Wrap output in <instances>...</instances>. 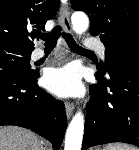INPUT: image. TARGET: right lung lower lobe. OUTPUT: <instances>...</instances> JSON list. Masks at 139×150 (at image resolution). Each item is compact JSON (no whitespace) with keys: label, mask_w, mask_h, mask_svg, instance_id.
<instances>
[{"label":"right lung lower lobe","mask_w":139,"mask_h":150,"mask_svg":"<svg viewBox=\"0 0 139 150\" xmlns=\"http://www.w3.org/2000/svg\"><path fill=\"white\" fill-rule=\"evenodd\" d=\"M38 76L0 69V126L31 129L58 150L67 126L65 106L37 85Z\"/></svg>","instance_id":"98d812e1"}]
</instances>
